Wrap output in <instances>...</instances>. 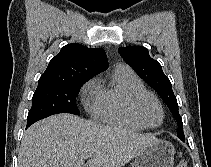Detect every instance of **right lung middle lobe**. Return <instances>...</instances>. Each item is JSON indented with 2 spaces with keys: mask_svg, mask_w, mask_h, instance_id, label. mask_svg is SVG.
I'll return each mask as SVG.
<instances>
[{
  "mask_svg": "<svg viewBox=\"0 0 211 167\" xmlns=\"http://www.w3.org/2000/svg\"><path fill=\"white\" fill-rule=\"evenodd\" d=\"M89 79H80L64 84L38 85L32 97L27 125L58 113L79 114L76 97L81 86Z\"/></svg>",
  "mask_w": 211,
  "mask_h": 167,
  "instance_id": "obj_1",
  "label": "right lung middle lobe"
}]
</instances>
